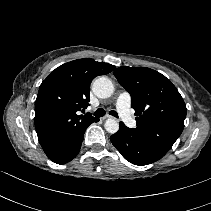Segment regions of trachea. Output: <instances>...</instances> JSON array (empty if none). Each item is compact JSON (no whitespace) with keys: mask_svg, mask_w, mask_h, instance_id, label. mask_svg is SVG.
<instances>
[{"mask_svg":"<svg viewBox=\"0 0 211 211\" xmlns=\"http://www.w3.org/2000/svg\"><path fill=\"white\" fill-rule=\"evenodd\" d=\"M105 114H106L105 110H104L103 108H99V109H97L96 112L94 113V116H96V117H103ZM109 114L112 115V116H114V117H116V118H118V114H117V112L114 111V110H111V111L109 112Z\"/></svg>","mask_w":211,"mask_h":211,"instance_id":"trachea-1","label":"trachea"}]
</instances>
